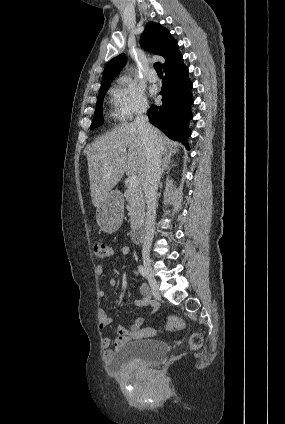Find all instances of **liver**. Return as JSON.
Instances as JSON below:
<instances>
[{"instance_id":"6515ba94","label":"liver","mask_w":285,"mask_h":424,"mask_svg":"<svg viewBox=\"0 0 285 424\" xmlns=\"http://www.w3.org/2000/svg\"><path fill=\"white\" fill-rule=\"evenodd\" d=\"M160 153L167 152L168 138L152 127ZM92 203L95 207L108 196L126 173L138 175L143 185L147 167L145 145L134 123H124L96 139L86 149ZM166 159V158H165Z\"/></svg>"}]
</instances>
